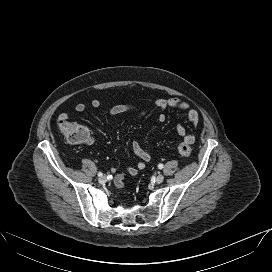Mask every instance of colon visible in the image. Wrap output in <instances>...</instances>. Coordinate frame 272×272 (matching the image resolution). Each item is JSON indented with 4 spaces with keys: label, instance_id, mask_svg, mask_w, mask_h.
I'll list each match as a JSON object with an SVG mask.
<instances>
[{
    "label": "colon",
    "instance_id": "obj_1",
    "mask_svg": "<svg viewBox=\"0 0 272 272\" xmlns=\"http://www.w3.org/2000/svg\"><path fill=\"white\" fill-rule=\"evenodd\" d=\"M58 128L61 134L70 142L86 143L91 138L89 131L82 125L68 121L67 119H60L58 121ZM178 151L182 157H189L191 155V140L187 137L178 145Z\"/></svg>",
    "mask_w": 272,
    "mask_h": 272
}]
</instances>
